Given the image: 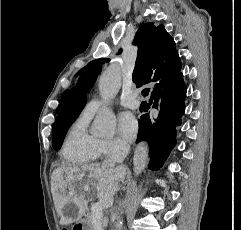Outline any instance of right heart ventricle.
Wrapping results in <instances>:
<instances>
[{
	"mask_svg": "<svg viewBox=\"0 0 241 230\" xmlns=\"http://www.w3.org/2000/svg\"><path fill=\"white\" fill-rule=\"evenodd\" d=\"M92 116L93 113L84 110L69 127L61 150V157L65 163L87 164L102 155L101 140L89 131Z\"/></svg>",
	"mask_w": 241,
	"mask_h": 230,
	"instance_id": "e07e8e85",
	"label": "right heart ventricle"
}]
</instances>
